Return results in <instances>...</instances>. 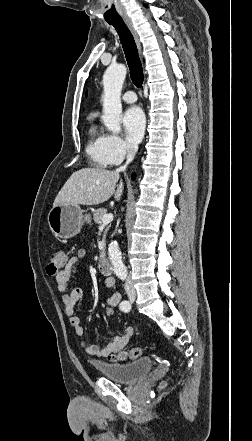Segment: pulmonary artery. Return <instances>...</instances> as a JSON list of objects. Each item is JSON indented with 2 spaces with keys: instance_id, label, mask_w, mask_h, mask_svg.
<instances>
[{
  "instance_id": "obj_1",
  "label": "pulmonary artery",
  "mask_w": 252,
  "mask_h": 441,
  "mask_svg": "<svg viewBox=\"0 0 252 441\" xmlns=\"http://www.w3.org/2000/svg\"><path fill=\"white\" fill-rule=\"evenodd\" d=\"M122 100L126 103H134L137 101V96L133 91H127L122 95Z\"/></svg>"
}]
</instances>
